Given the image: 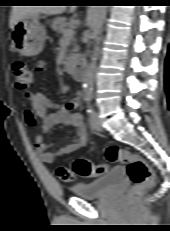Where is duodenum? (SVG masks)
I'll list each match as a JSON object with an SVG mask.
<instances>
[{
  "label": "duodenum",
  "mask_w": 170,
  "mask_h": 231,
  "mask_svg": "<svg viewBox=\"0 0 170 231\" xmlns=\"http://www.w3.org/2000/svg\"><path fill=\"white\" fill-rule=\"evenodd\" d=\"M68 67L77 80H84L86 69L83 61H75L70 63Z\"/></svg>",
  "instance_id": "1"
}]
</instances>
